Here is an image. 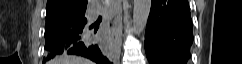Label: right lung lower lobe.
<instances>
[{
    "label": "right lung lower lobe",
    "mask_w": 242,
    "mask_h": 64,
    "mask_svg": "<svg viewBox=\"0 0 242 64\" xmlns=\"http://www.w3.org/2000/svg\"><path fill=\"white\" fill-rule=\"evenodd\" d=\"M98 24L91 22L78 23L58 29L45 38L46 57L43 63L61 54H74L86 57L97 64H110L101 46L89 35L88 31ZM95 29V30H96Z\"/></svg>",
    "instance_id": "98d812e1"
}]
</instances>
